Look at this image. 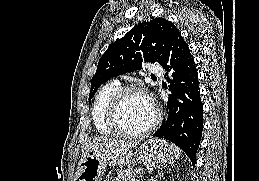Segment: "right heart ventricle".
Listing matches in <instances>:
<instances>
[{
  "label": "right heart ventricle",
  "instance_id": "right-heart-ventricle-1",
  "mask_svg": "<svg viewBox=\"0 0 259 181\" xmlns=\"http://www.w3.org/2000/svg\"><path fill=\"white\" fill-rule=\"evenodd\" d=\"M119 89L120 84L116 81H111L100 87L95 95L91 109V118L96 130L100 134L113 135L116 133L108 121V108L113 96Z\"/></svg>",
  "mask_w": 259,
  "mask_h": 181
}]
</instances>
